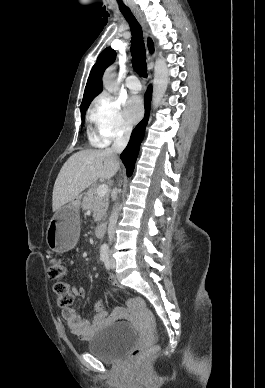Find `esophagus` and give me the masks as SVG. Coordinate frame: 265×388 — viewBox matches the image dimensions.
<instances>
[{"mask_svg":"<svg viewBox=\"0 0 265 388\" xmlns=\"http://www.w3.org/2000/svg\"><path fill=\"white\" fill-rule=\"evenodd\" d=\"M131 11L135 15V17L138 20L139 24L141 25L145 37H148L150 35V30H149L148 24H147L145 18L143 17L141 11L140 10H135V9H132ZM147 56L150 59L148 51H147ZM149 78H150V75H149Z\"/></svg>","mask_w":265,"mask_h":388,"instance_id":"esophagus-1","label":"esophagus"}]
</instances>
